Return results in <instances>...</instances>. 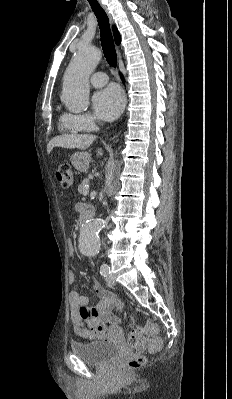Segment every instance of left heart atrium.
Instances as JSON below:
<instances>
[{
  "label": "left heart atrium",
  "mask_w": 232,
  "mask_h": 399,
  "mask_svg": "<svg viewBox=\"0 0 232 399\" xmlns=\"http://www.w3.org/2000/svg\"><path fill=\"white\" fill-rule=\"evenodd\" d=\"M96 115L104 121L115 120L123 110V96L115 87H108L93 98Z\"/></svg>",
  "instance_id": "left-heart-atrium-1"
}]
</instances>
